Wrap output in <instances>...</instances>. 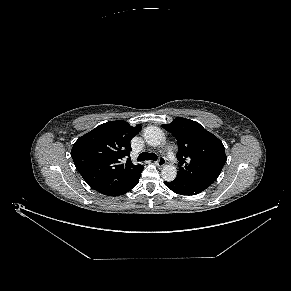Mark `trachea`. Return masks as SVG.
<instances>
[{
  "mask_svg": "<svg viewBox=\"0 0 291 291\" xmlns=\"http://www.w3.org/2000/svg\"><path fill=\"white\" fill-rule=\"evenodd\" d=\"M157 159H158L157 155L154 153L143 152L139 156V161H145V160L156 161Z\"/></svg>",
  "mask_w": 291,
  "mask_h": 291,
  "instance_id": "1",
  "label": "trachea"
}]
</instances>
